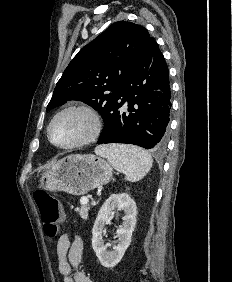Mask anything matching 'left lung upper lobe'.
I'll return each instance as SVG.
<instances>
[{"instance_id":"5c2ea615","label":"left lung upper lobe","mask_w":232,"mask_h":282,"mask_svg":"<svg viewBox=\"0 0 232 282\" xmlns=\"http://www.w3.org/2000/svg\"><path fill=\"white\" fill-rule=\"evenodd\" d=\"M150 39L141 25L126 21L111 25L73 58L57 82L47 110L78 100L99 111L104 119Z\"/></svg>"}]
</instances>
